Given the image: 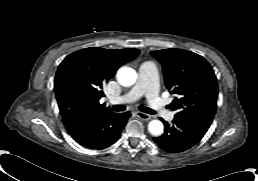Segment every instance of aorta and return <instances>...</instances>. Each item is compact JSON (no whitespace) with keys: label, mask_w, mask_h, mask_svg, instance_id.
Listing matches in <instances>:
<instances>
[{"label":"aorta","mask_w":258,"mask_h":181,"mask_svg":"<svg viewBox=\"0 0 258 181\" xmlns=\"http://www.w3.org/2000/svg\"><path fill=\"white\" fill-rule=\"evenodd\" d=\"M116 76L118 82L124 87H130L137 81V73L131 67H121ZM148 131L154 136H160L164 131V125L160 120H152L148 124Z\"/></svg>","instance_id":"obj_1"}]
</instances>
